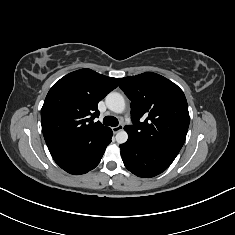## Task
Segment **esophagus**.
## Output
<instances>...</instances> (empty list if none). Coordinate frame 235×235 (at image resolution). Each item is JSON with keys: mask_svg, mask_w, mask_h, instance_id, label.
I'll return each instance as SVG.
<instances>
[{"mask_svg": "<svg viewBox=\"0 0 235 235\" xmlns=\"http://www.w3.org/2000/svg\"><path fill=\"white\" fill-rule=\"evenodd\" d=\"M122 129H123V125L122 124L112 128L114 133H117V132L121 131Z\"/></svg>", "mask_w": 235, "mask_h": 235, "instance_id": "obj_1", "label": "esophagus"}]
</instances>
